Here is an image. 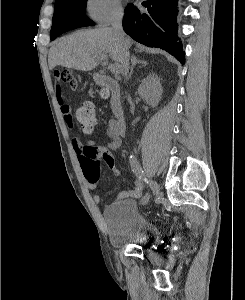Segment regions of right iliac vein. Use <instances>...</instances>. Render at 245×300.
<instances>
[{
    "instance_id": "right-iliac-vein-1",
    "label": "right iliac vein",
    "mask_w": 245,
    "mask_h": 300,
    "mask_svg": "<svg viewBox=\"0 0 245 300\" xmlns=\"http://www.w3.org/2000/svg\"><path fill=\"white\" fill-rule=\"evenodd\" d=\"M151 189H152L154 195H158L159 194V187H158L157 184L152 185Z\"/></svg>"
}]
</instances>
